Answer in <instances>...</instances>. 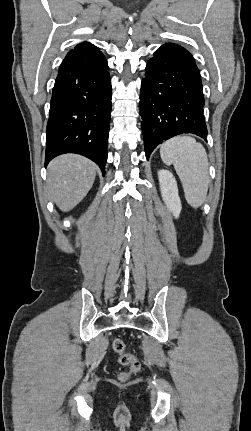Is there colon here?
<instances>
[{
  "mask_svg": "<svg viewBox=\"0 0 251 431\" xmlns=\"http://www.w3.org/2000/svg\"><path fill=\"white\" fill-rule=\"evenodd\" d=\"M113 351L117 354L118 363L122 366L129 367V373H122L121 379H126L130 373H136L140 369L138 359L126 350V344L120 337H115L111 343Z\"/></svg>",
  "mask_w": 251,
  "mask_h": 431,
  "instance_id": "colon-1",
  "label": "colon"
}]
</instances>
